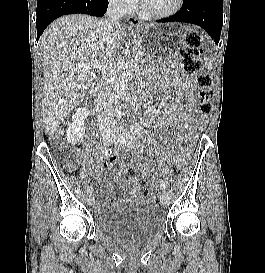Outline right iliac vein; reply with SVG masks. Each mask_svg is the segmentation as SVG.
I'll return each mask as SVG.
<instances>
[{
    "label": "right iliac vein",
    "instance_id": "obj_1",
    "mask_svg": "<svg viewBox=\"0 0 265 273\" xmlns=\"http://www.w3.org/2000/svg\"><path fill=\"white\" fill-rule=\"evenodd\" d=\"M114 140H115V137H113L111 134H109L108 136H106L104 142H105V144H110V143L114 142ZM87 204L89 206H92L94 204V197L93 196L88 197Z\"/></svg>",
    "mask_w": 265,
    "mask_h": 273
}]
</instances>
